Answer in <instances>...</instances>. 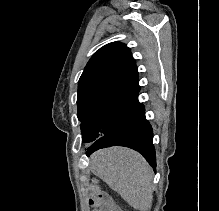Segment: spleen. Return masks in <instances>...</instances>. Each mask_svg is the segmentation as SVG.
<instances>
[{
    "label": "spleen",
    "instance_id": "3e777b00",
    "mask_svg": "<svg viewBox=\"0 0 219 211\" xmlns=\"http://www.w3.org/2000/svg\"><path fill=\"white\" fill-rule=\"evenodd\" d=\"M89 165L95 175L106 181L134 209H151L153 169L138 151L116 145L106 147L92 153Z\"/></svg>",
    "mask_w": 219,
    "mask_h": 211
}]
</instances>
